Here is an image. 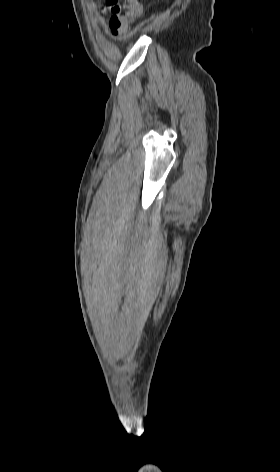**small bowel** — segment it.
Instances as JSON below:
<instances>
[{
    "label": "small bowel",
    "mask_w": 280,
    "mask_h": 472,
    "mask_svg": "<svg viewBox=\"0 0 280 472\" xmlns=\"http://www.w3.org/2000/svg\"><path fill=\"white\" fill-rule=\"evenodd\" d=\"M109 31L114 37L122 38L128 32V29L126 26H121V27L113 26L111 22H109Z\"/></svg>",
    "instance_id": "small-bowel-1"
}]
</instances>
